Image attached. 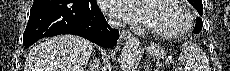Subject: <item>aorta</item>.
Here are the masks:
<instances>
[{
	"instance_id": "obj_1",
	"label": "aorta",
	"mask_w": 230,
	"mask_h": 71,
	"mask_svg": "<svg viewBox=\"0 0 230 71\" xmlns=\"http://www.w3.org/2000/svg\"><path fill=\"white\" fill-rule=\"evenodd\" d=\"M141 45L136 37L129 38L121 52L120 66L122 71H134L141 58Z\"/></svg>"
}]
</instances>
